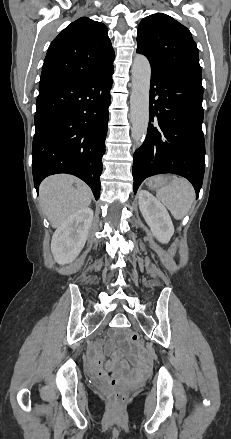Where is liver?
I'll use <instances>...</instances> for the list:
<instances>
[{"label":"liver","instance_id":"6515ba94","mask_svg":"<svg viewBox=\"0 0 231 439\" xmlns=\"http://www.w3.org/2000/svg\"><path fill=\"white\" fill-rule=\"evenodd\" d=\"M91 200L90 188L71 175L50 176L43 180L39 188L42 211L53 228L59 227L77 211L87 208Z\"/></svg>","mask_w":231,"mask_h":439}]
</instances>
